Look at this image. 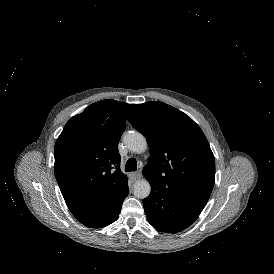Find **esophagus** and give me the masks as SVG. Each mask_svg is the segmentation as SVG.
Masks as SVG:
<instances>
[{
  "label": "esophagus",
  "mask_w": 274,
  "mask_h": 274,
  "mask_svg": "<svg viewBox=\"0 0 274 274\" xmlns=\"http://www.w3.org/2000/svg\"><path fill=\"white\" fill-rule=\"evenodd\" d=\"M129 179L133 182L135 180H138L142 177V174L140 171L132 172L128 174Z\"/></svg>",
  "instance_id": "1"
}]
</instances>
